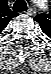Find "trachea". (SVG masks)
Listing matches in <instances>:
<instances>
[{"label": "trachea", "mask_w": 51, "mask_h": 74, "mask_svg": "<svg viewBox=\"0 0 51 74\" xmlns=\"http://www.w3.org/2000/svg\"><path fill=\"white\" fill-rule=\"evenodd\" d=\"M27 9V4L24 0H17L13 5V10L16 12L26 11Z\"/></svg>", "instance_id": "1"}]
</instances>
